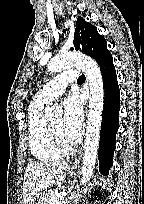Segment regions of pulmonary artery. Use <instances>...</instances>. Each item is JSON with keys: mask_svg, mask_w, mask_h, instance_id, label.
<instances>
[{"mask_svg": "<svg viewBox=\"0 0 144 204\" xmlns=\"http://www.w3.org/2000/svg\"><path fill=\"white\" fill-rule=\"evenodd\" d=\"M78 77V72L71 70L64 72L50 82H48L38 93L37 100L43 104H48L62 95L69 82L74 81Z\"/></svg>", "mask_w": 144, "mask_h": 204, "instance_id": "pulmonary-artery-1", "label": "pulmonary artery"}]
</instances>
